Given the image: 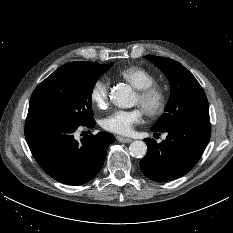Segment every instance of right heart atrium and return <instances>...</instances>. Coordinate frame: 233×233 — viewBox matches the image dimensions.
<instances>
[{
    "mask_svg": "<svg viewBox=\"0 0 233 233\" xmlns=\"http://www.w3.org/2000/svg\"><path fill=\"white\" fill-rule=\"evenodd\" d=\"M110 83L104 78L97 79L90 90V100L98 108L103 109L109 103Z\"/></svg>",
    "mask_w": 233,
    "mask_h": 233,
    "instance_id": "d8ad5b80",
    "label": "right heart atrium"
}]
</instances>
